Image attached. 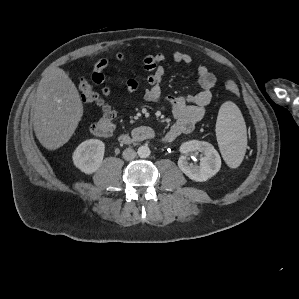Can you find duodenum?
I'll list each match as a JSON object with an SVG mask.
<instances>
[{"label":"duodenum","mask_w":299,"mask_h":299,"mask_svg":"<svg viewBox=\"0 0 299 299\" xmlns=\"http://www.w3.org/2000/svg\"><path fill=\"white\" fill-rule=\"evenodd\" d=\"M155 137L153 129L150 127H138L132 131V133H125L120 135L119 139L123 143L139 142L144 140H150Z\"/></svg>","instance_id":"duodenum-1"}]
</instances>
